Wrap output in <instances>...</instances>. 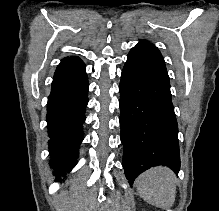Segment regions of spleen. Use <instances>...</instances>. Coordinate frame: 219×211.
<instances>
[{
  "instance_id": "spleen-1",
  "label": "spleen",
  "mask_w": 219,
  "mask_h": 211,
  "mask_svg": "<svg viewBox=\"0 0 219 211\" xmlns=\"http://www.w3.org/2000/svg\"><path fill=\"white\" fill-rule=\"evenodd\" d=\"M175 175L169 167H151L135 181V187L142 199L156 207H171L175 201L176 185Z\"/></svg>"
}]
</instances>
